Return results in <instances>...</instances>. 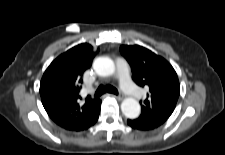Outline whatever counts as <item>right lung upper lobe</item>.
<instances>
[{"instance_id":"obj_1","label":"right lung upper lobe","mask_w":225,"mask_h":155,"mask_svg":"<svg viewBox=\"0 0 225 155\" xmlns=\"http://www.w3.org/2000/svg\"><path fill=\"white\" fill-rule=\"evenodd\" d=\"M97 52L87 43L77 45L57 57L46 69L40 82L42 104L49 117L67 130L89 128L99 110V98L79 96L82 75Z\"/></svg>"}]
</instances>
